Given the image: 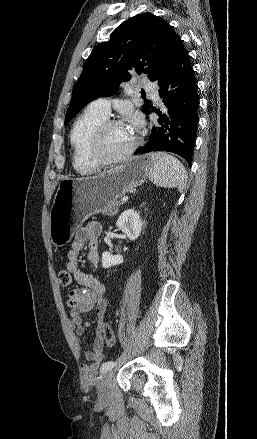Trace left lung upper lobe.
<instances>
[{
  "mask_svg": "<svg viewBox=\"0 0 257 439\" xmlns=\"http://www.w3.org/2000/svg\"><path fill=\"white\" fill-rule=\"evenodd\" d=\"M179 36L162 18L151 13L136 15L121 23L110 40L96 46L86 60L72 94L65 125L92 100L112 96L132 72L156 81L167 66ZM151 101L142 111L148 113Z\"/></svg>",
  "mask_w": 257,
  "mask_h": 439,
  "instance_id": "5c2ea615",
  "label": "left lung upper lobe"
}]
</instances>
